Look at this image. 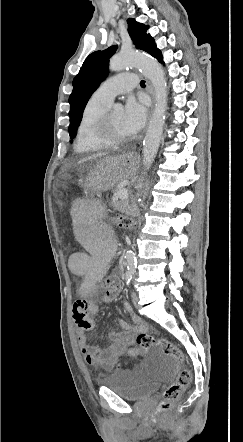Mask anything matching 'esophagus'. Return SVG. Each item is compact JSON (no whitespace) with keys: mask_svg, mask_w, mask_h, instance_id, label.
Masks as SVG:
<instances>
[{"mask_svg":"<svg viewBox=\"0 0 243 442\" xmlns=\"http://www.w3.org/2000/svg\"><path fill=\"white\" fill-rule=\"evenodd\" d=\"M148 88H149V93H150L151 100H152V107H151V112H152L154 109V104H155V92H154L153 86L150 83L148 85Z\"/></svg>","mask_w":243,"mask_h":442,"instance_id":"esophagus-1","label":"esophagus"}]
</instances>
